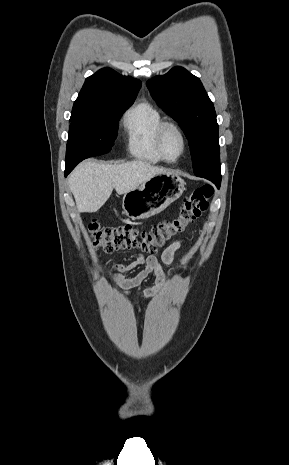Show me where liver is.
I'll return each mask as SVG.
<instances>
[{"instance_id": "obj_1", "label": "liver", "mask_w": 289, "mask_h": 465, "mask_svg": "<svg viewBox=\"0 0 289 465\" xmlns=\"http://www.w3.org/2000/svg\"><path fill=\"white\" fill-rule=\"evenodd\" d=\"M165 169L136 160L111 165L84 161L70 174L69 188L79 212H96L109 199L113 189L126 194Z\"/></svg>"}]
</instances>
